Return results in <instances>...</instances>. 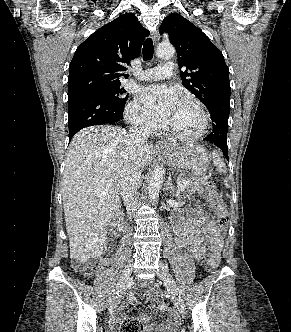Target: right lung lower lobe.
I'll list each match as a JSON object with an SVG mask.
<instances>
[{
	"instance_id": "right-lung-lower-lobe-1",
	"label": "right lung lower lobe",
	"mask_w": 291,
	"mask_h": 332,
	"mask_svg": "<svg viewBox=\"0 0 291 332\" xmlns=\"http://www.w3.org/2000/svg\"><path fill=\"white\" fill-rule=\"evenodd\" d=\"M69 140L79 130L103 124L119 123L123 119V108L108 98L93 92L81 91L68 95Z\"/></svg>"
}]
</instances>
